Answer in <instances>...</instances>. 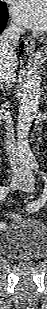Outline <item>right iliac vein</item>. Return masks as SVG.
I'll list each match as a JSON object with an SVG mask.
<instances>
[{
    "mask_svg": "<svg viewBox=\"0 0 47 309\" xmlns=\"http://www.w3.org/2000/svg\"><path fill=\"white\" fill-rule=\"evenodd\" d=\"M25 180L21 177H14L10 183V188H20L24 184Z\"/></svg>",
    "mask_w": 47,
    "mask_h": 309,
    "instance_id": "1",
    "label": "right iliac vein"
}]
</instances>
